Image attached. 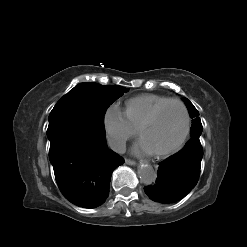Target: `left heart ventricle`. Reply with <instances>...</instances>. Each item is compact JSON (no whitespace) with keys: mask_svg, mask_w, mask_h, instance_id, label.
Returning a JSON list of instances; mask_svg holds the SVG:
<instances>
[{"mask_svg":"<svg viewBox=\"0 0 247 247\" xmlns=\"http://www.w3.org/2000/svg\"><path fill=\"white\" fill-rule=\"evenodd\" d=\"M184 124L182 108L178 104H170L160 112L152 125L142 131L140 138L153 153L163 151L179 140Z\"/></svg>","mask_w":247,"mask_h":247,"instance_id":"1","label":"left heart ventricle"}]
</instances>
